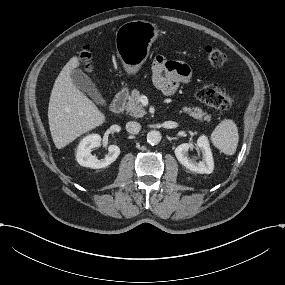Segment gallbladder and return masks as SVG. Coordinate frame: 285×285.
Masks as SVG:
<instances>
[{
  "label": "gallbladder",
  "instance_id": "obj_1",
  "mask_svg": "<svg viewBox=\"0 0 285 285\" xmlns=\"http://www.w3.org/2000/svg\"><path fill=\"white\" fill-rule=\"evenodd\" d=\"M72 78L74 79L77 88L87 94L96 105H99L101 107L108 106V102L101 94L96 84L84 71L80 69L73 71Z\"/></svg>",
  "mask_w": 285,
  "mask_h": 285
}]
</instances>
